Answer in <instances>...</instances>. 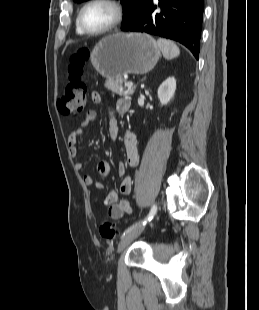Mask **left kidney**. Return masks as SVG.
Masks as SVG:
<instances>
[{
	"label": "left kidney",
	"instance_id": "1",
	"mask_svg": "<svg viewBox=\"0 0 259 310\" xmlns=\"http://www.w3.org/2000/svg\"><path fill=\"white\" fill-rule=\"evenodd\" d=\"M176 90V79L167 78L158 88V98L161 105H166L174 96Z\"/></svg>",
	"mask_w": 259,
	"mask_h": 310
}]
</instances>
